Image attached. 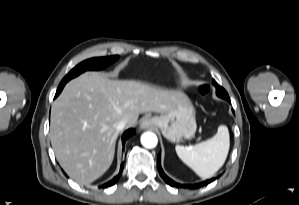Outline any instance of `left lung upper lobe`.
<instances>
[{
  "label": "left lung upper lobe",
  "mask_w": 299,
  "mask_h": 205,
  "mask_svg": "<svg viewBox=\"0 0 299 205\" xmlns=\"http://www.w3.org/2000/svg\"><path fill=\"white\" fill-rule=\"evenodd\" d=\"M212 82L216 87L217 96H219L221 98H229L228 93L225 91V89H223L221 86H219L214 80Z\"/></svg>",
  "instance_id": "1"
}]
</instances>
